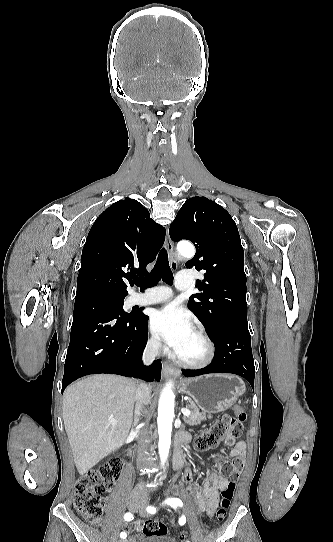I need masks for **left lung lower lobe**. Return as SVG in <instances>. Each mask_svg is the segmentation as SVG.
<instances>
[{
  "label": "left lung lower lobe",
  "instance_id": "obj_1",
  "mask_svg": "<svg viewBox=\"0 0 333 542\" xmlns=\"http://www.w3.org/2000/svg\"><path fill=\"white\" fill-rule=\"evenodd\" d=\"M212 339L215 354L211 364L199 370H182L184 376L232 373L247 379L254 388L255 367L247 322H227Z\"/></svg>",
  "mask_w": 333,
  "mask_h": 542
}]
</instances>
